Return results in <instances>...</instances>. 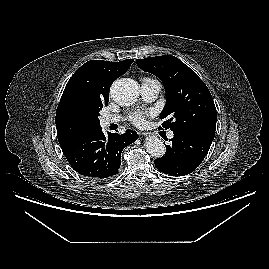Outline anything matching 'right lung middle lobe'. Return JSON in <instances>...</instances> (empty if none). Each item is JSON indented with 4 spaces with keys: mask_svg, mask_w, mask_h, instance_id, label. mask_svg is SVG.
Returning <instances> with one entry per match:
<instances>
[{
    "mask_svg": "<svg viewBox=\"0 0 269 269\" xmlns=\"http://www.w3.org/2000/svg\"><path fill=\"white\" fill-rule=\"evenodd\" d=\"M108 101H89L82 105V115L84 118L96 127H100L99 125V112L102 110L103 106H107Z\"/></svg>",
    "mask_w": 269,
    "mask_h": 269,
    "instance_id": "dd1d6c3e",
    "label": "right lung middle lobe"
}]
</instances>
